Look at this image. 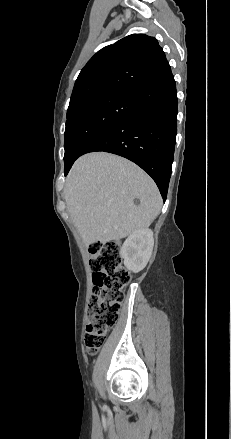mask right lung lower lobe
I'll return each mask as SVG.
<instances>
[{
  "label": "right lung lower lobe",
  "instance_id": "obj_1",
  "mask_svg": "<svg viewBox=\"0 0 231 439\" xmlns=\"http://www.w3.org/2000/svg\"><path fill=\"white\" fill-rule=\"evenodd\" d=\"M138 109L92 136L79 156L105 151L125 157L156 182L164 201L172 172L178 99L172 73L134 93ZM72 162L65 167V175Z\"/></svg>",
  "mask_w": 231,
  "mask_h": 439
}]
</instances>
